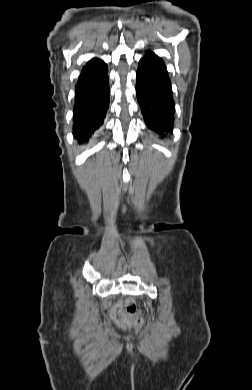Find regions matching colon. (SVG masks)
Wrapping results in <instances>:
<instances>
[{
	"mask_svg": "<svg viewBox=\"0 0 252 390\" xmlns=\"http://www.w3.org/2000/svg\"><path fill=\"white\" fill-rule=\"evenodd\" d=\"M125 313L130 323L136 329L139 330L143 327L144 319L141 316V314L138 312V308L135 301L131 298L127 299L125 302Z\"/></svg>",
	"mask_w": 252,
	"mask_h": 390,
	"instance_id": "obj_1",
	"label": "colon"
}]
</instances>
